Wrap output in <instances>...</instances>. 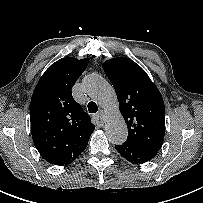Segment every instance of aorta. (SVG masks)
Instances as JSON below:
<instances>
[{"label": "aorta", "instance_id": "762f6f07", "mask_svg": "<svg viewBox=\"0 0 203 203\" xmlns=\"http://www.w3.org/2000/svg\"><path fill=\"white\" fill-rule=\"evenodd\" d=\"M83 87L105 112V131L112 144H123L128 135L127 125L120 113L114 88L101 76L85 77Z\"/></svg>", "mask_w": 203, "mask_h": 203}]
</instances>
